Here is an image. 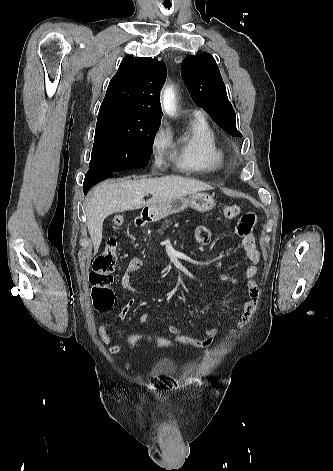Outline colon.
Listing matches in <instances>:
<instances>
[{"mask_svg": "<svg viewBox=\"0 0 333 471\" xmlns=\"http://www.w3.org/2000/svg\"><path fill=\"white\" fill-rule=\"evenodd\" d=\"M240 213L238 205H229L223 209L226 218H235ZM124 224V218L117 215L113 219V227L120 228ZM118 243L116 238L110 237L105 244L103 251L96 257L89 275L92 286L91 295L93 305L98 311H108L114 303V292L112 290L113 272L117 262ZM149 342L157 347L169 348L175 342L167 337L153 336L144 333H132L126 338V343L130 347H135L142 343Z\"/></svg>", "mask_w": 333, "mask_h": 471, "instance_id": "obj_1", "label": "colon"}]
</instances>
